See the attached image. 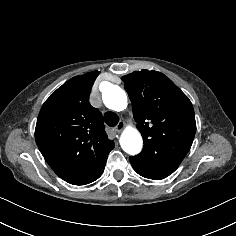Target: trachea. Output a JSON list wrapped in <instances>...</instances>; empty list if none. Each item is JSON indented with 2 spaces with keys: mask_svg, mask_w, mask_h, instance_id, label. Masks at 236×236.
Returning a JSON list of instances; mask_svg holds the SVG:
<instances>
[{
  "mask_svg": "<svg viewBox=\"0 0 236 236\" xmlns=\"http://www.w3.org/2000/svg\"><path fill=\"white\" fill-rule=\"evenodd\" d=\"M104 121L108 126H115L119 122V117L114 112H106L104 114Z\"/></svg>",
  "mask_w": 236,
  "mask_h": 236,
  "instance_id": "3493384b",
  "label": "trachea"
}]
</instances>
